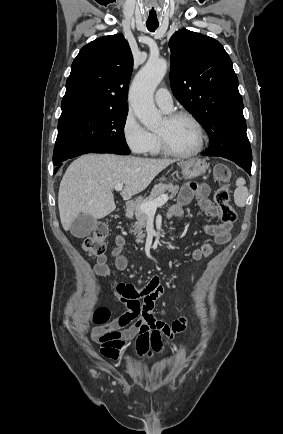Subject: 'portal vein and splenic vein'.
<instances>
[{"label": "portal vein and splenic vein", "mask_w": 283, "mask_h": 434, "mask_svg": "<svg viewBox=\"0 0 283 434\" xmlns=\"http://www.w3.org/2000/svg\"><path fill=\"white\" fill-rule=\"evenodd\" d=\"M114 188L116 191H121L123 189V184H116ZM168 199V195L163 194L154 201L141 204L140 209L146 214L155 213L156 209L164 205L168 201Z\"/></svg>", "instance_id": "1"}]
</instances>
